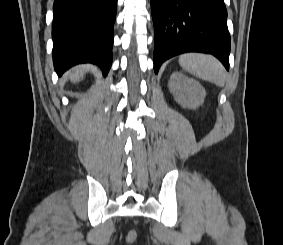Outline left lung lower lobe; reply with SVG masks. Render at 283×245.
<instances>
[{"mask_svg":"<svg viewBox=\"0 0 283 245\" xmlns=\"http://www.w3.org/2000/svg\"><path fill=\"white\" fill-rule=\"evenodd\" d=\"M154 70L181 53L216 56L229 70L230 35L223 0H151Z\"/></svg>","mask_w":283,"mask_h":245,"instance_id":"obj_1","label":"left lung lower lobe"}]
</instances>
